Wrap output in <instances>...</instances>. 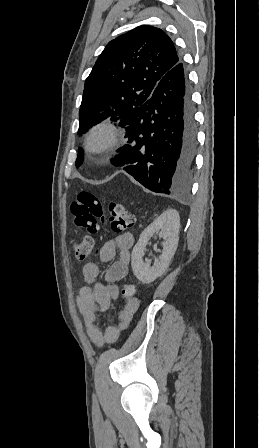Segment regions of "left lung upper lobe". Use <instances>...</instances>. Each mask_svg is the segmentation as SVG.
<instances>
[{
	"mask_svg": "<svg viewBox=\"0 0 259 448\" xmlns=\"http://www.w3.org/2000/svg\"><path fill=\"white\" fill-rule=\"evenodd\" d=\"M180 60L170 37L156 27L139 26L110 41L85 81L78 134L108 117L127 126L132 110L146 103ZM82 157L79 149L76 166Z\"/></svg>",
	"mask_w": 259,
	"mask_h": 448,
	"instance_id": "1",
	"label": "left lung upper lobe"
}]
</instances>
